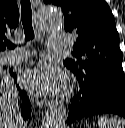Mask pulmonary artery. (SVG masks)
<instances>
[{
  "label": "pulmonary artery",
  "mask_w": 125,
  "mask_h": 128,
  "mask_svg": "<svg viewBox=\"0 0 125 128\" xmlns=\"http://www.w3.org/2000/svg\"><path fill=\"white\" fill-rule=\"evenodd\" d=\"M69 45V36L67 34H52L49 37V48L53 50L63 49ZM29 54L25 51L11 52L3 56L7 64L21 63L27 60Z\"/></svg>",
  "instance_id": "pulmonary-artery-1"
}]
</instances>
